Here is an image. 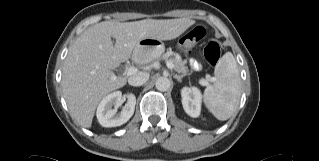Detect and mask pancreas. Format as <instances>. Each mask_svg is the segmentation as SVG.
I'll list each match as a JSON object with an SVG mask.
<instances>
[{"mask_svg": "<svg viewBox=\"0 0 319 161\" xmlns=\"http://www.w3.org/2000/svg\"><path fill=\"white\" fill-rule=\"evenodd\" d=\"M165 59L173 63L176 72L182 73L183 75H188L186 61H183L178 54L168 53L165 55Z\"/></svg>", "mask_w": 319, "mask_h": 161, "instance_id": "pancreas-1", "label": "pancreas"}]
</instances>
